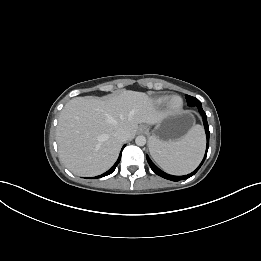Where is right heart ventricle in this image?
Segmentation results:
<instances>
[{
    "label": "right heart ventricle",
    "mask_w": 261,
    "mask_h": 261,
    "mask_svg": "<svg viewBox=\"0 0 261 261\" xmlns=\"http://www.w3.org/2000/svg\"><path fill=\"white\" fill-rule=\"evenodd\" d=\"M167 100V96H160L156 99L157 104H163Z\"/></svg>",
    "instance_id": "e07e8e85"
}]
</instances>
